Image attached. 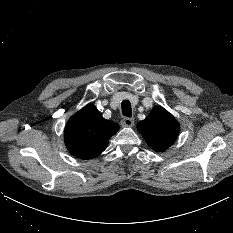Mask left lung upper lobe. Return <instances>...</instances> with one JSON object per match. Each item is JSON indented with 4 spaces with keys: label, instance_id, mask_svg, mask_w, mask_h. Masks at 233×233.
<instances>
[{
    "label": "left lung upper lobe",
    "instance_id": "5c2ea615",
    "mask_svg": "<svg viewBox=\"0 0 233 233\" xmlns=\"http://www.w3.org/2000/svg\"><path fill=\"white\" fill-rule=\"evenodd\" d=\"M137 129L153 150L164 151L176 140L179 124L172 114L156 106L145 120L138 123Z\"/></svg>",
    "mask_w": 233,
    "mask_h": 233
}]
</instances>
